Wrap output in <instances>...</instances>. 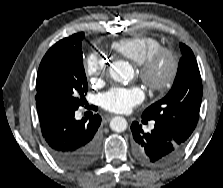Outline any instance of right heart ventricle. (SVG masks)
I'll use <instances>...</instances> for the list:
<instances>
[{"label":"right heart ventricle","instance_id":"obj_1","mask_svg":"<svg viewBox=\"0 0 223 188\" xmlns=\"http://www.w3.org/2000/svg\"><path fill=\"white\" fill-rule=\"evenodd\" d=\"M161 47L160 40L153 36L124 37L111 45L113 51L137 64Z\"/></svg>","mask_w":223,"mask_h":188}]
</instances>
